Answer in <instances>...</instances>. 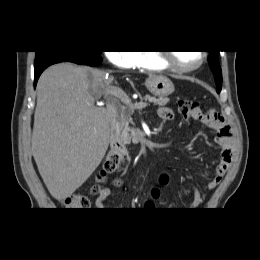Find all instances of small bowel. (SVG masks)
Returning <instances> with one entry per match:
<instances>
[{"label": "small bowel", "mask_w": 260, "mask_h": 260, "mask_svg": "<svg viewBox=\"0 0 260 260\" xmlns=\"http://www.w3.org/2000/svg\"><path fill=\"white\" fill-rule=\"evenodd\" d=\"M158 115L163 120H172L174 117V112L171 108L161 107L158 110ZM194 119H197L216 130L215 140L221 148V159L216 167L213 178L206 186L207 191H211L217 187L227 170L230 168L233 156V129L232 126L220 114L214 111L205 113L201 112V114ZM109 195L110 190L103 189L95 200V207L97 209L103 208L104 202ZM204 199V195L201 194L196 187H193V200L189 208L191 210L197 209L203 203ZM148 206L151 207L152 204L149 203Z\"/></svg>", "instance_id": "small-bowel-1"}]
</instances>
